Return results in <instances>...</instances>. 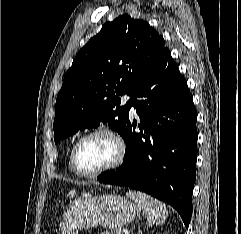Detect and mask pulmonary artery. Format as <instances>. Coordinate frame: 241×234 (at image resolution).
<instances>
[{"label": "pulmonary artery", "instance_id": "pulmonary-artery-1", "mask_svg": "<svg viewBox=\"0 0 241 234\" xmlns=\"http://www.w3.org/2000/svg\"><path fill=\"white\" fill-rule=\"evenodd\" d=\"M129 100H130V97H129V96H125V97H124V101H125V102H126V101H129ZM131 110L133 111L134 108L132 107Z\"/></svg>", "mask_w": 241, "mask_h": 234}]
</instances>
